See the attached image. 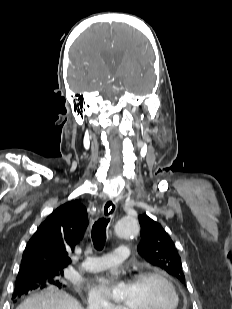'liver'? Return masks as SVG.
<instances>
[{"label":"liver","instance_id":"1","mask_svg":"<svg viewBox=\"0 0 232 309\" xmlns=\"http://www.w3.org/2000/svg\"><path fill=\"white\" fill-rule=\"evenodd\" d=\"M16 309H84L72 296L56 288H47L27 297Z\"/></svg>","mask_w":232,"mask_h":309}]
</instances>
